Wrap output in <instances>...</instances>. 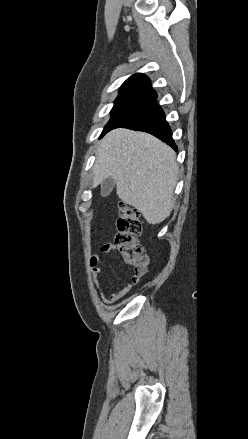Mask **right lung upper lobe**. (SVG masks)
<instances>
[{
  "mask_svg": "<svg viewBox=\"0 0 248 439\" xmlns=\"http://www.w3.org/2000/svg\"><path fill=\"white\" fill-rule=\"evenodd\" d=\"M120 95H138L152 99L157 98L156 92L151 88L149 78L141 73L132 75L122 84Z\"/></svg>",
  "mask_w": 248,
  "mask_h": 439,
  "instance_id": "right-lung-upper-lobe-1",
  "label": "right lung upper lobe"
}]
</instances>
